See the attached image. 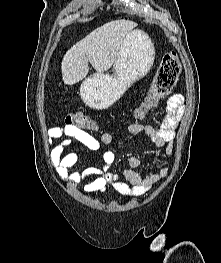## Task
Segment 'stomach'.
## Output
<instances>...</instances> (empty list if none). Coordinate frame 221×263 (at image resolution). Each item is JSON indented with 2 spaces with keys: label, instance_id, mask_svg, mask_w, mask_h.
Instances as JSON below:
<instances>
[{
  "label": "stomach",
  "instance_id": "stomach-1",
  "mask_svg": "<svg viewBox=\"0 0 221 263\" xmlns=\"http://www.w3.org/2000/svg\"><path fill=\"white\" fill-rule=\"evenodd\" d=\"M155 47L140 30L129 32L114 63V74L94 73L81 84L80 95L90 108L104 110L112 106L137 80L151 69Z\"/></svg>",
  "mask_w": 221,
  "mask_h": 263
}]
</instances>
